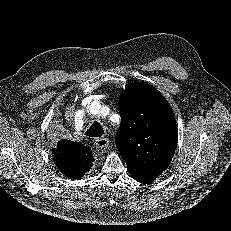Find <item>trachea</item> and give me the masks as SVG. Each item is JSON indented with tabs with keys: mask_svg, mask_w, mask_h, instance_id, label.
Listing matches in <instances>:
<instances>
[{
	"mask_svg": "<svg viewBox=\"0 0 231 231\" xmlns=\"http://www.w3.org/2000/svg\"><path fill=\"white\" fill-rule=\"evenodd\" d=\"M103 134L104 130L99 122H94L85 132V135L89 137H101Z\"/></svg>",
	"mask_w": 231,
	"mask_h": 231,
	"instance_id": "obj_1",
	"label": "trachea"
}]
</instances>
